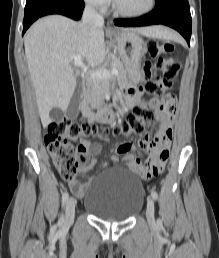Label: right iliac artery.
<instances>
[{
    "label": "right iliac artery",
    "instance_id": "obj_1",
    "mask_svg": "<svg viewBox=\"0 0 219 258\" xmlns=\"http://www.w3.org/2000/svg\"><path fill=\"white\" fill-rule=\"evenodd\" d=\"M68 198H69L68 192H64L63 195H62V205H63V206L66 204ZM59 222H60V223H63V222H64V217H63V215L60 217Z\"/></svg>",
    "mask_w": 219,
    "mask_h": 258
}]
</instances>
